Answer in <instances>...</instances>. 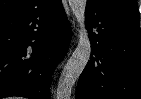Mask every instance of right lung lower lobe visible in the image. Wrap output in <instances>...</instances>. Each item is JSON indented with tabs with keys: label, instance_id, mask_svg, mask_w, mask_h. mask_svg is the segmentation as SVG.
<instances>
[{
	"label": "right lung lower lobe",
	"instance_id": "right-lung-lower-lobe-1",
	"mask_svg": "<svg viewBox=\"0 0 141 99\" xmlns=\"http://www.w3.org/2000/svg\"><path fill=\"white\" fill-rule=\"evenodd\" d=\"M71 33L61 0L0 17V99H51L50 78Z\"/></svg>",
	"mask_w": 141,
	"mask_h": 99
}]
</instances>
